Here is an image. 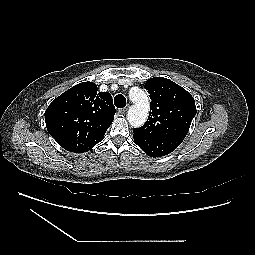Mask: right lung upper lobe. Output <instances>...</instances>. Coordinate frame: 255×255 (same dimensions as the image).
Segmentation results:
<instances>
[{
  "mask_svg": "<svg viewBox=\"0 0 255 255\" xmlns=\"http://www.w3.org/2000/svg\"><path fill=\"white\" fill-rule=\"evenodd\" d=\"M108 92L93 82L79 83L57 97L45 111L49 134L64 149L84 153L100 142L115 115Z\"/></svg>",
  "mask_w": 255,
  "mask_h": 255,
  "instance_id": "right-lung-upper-lobe-1",
  "label": "right lung upper lobe"
}]
</instances>
